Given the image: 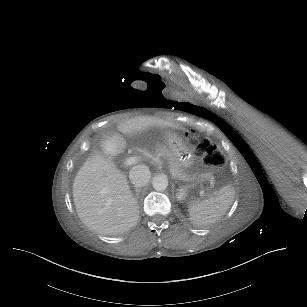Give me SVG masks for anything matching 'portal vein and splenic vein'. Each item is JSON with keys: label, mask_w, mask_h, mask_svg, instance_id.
<instances>
[{"label": "portal vein and splenic vein", "mask_w": 307, "mask_h": 307, "mask_svg": "<svg viewBox=\"0 0 307 307\" xmlns=\"http://www.w3.org/2000/svg\"><path fill=\"white\" fill-rule=\"evenodd\" d=\"M138 161H139L138 156L133 155V156L127 157V159H126V164H127L128 166H131V165H133V164L138 163ZM198 190H199V193H200L201 195H204V194H205V191H204V189H203V185H202V184H199V185H198Z\"/></svg>", "instance_id": "1"}]
</instances>
